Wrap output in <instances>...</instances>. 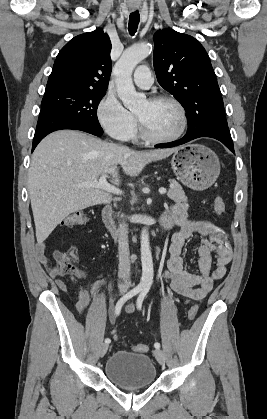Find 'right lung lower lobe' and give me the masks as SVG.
Returning a JSON list of instances; mask_svg holds the SVG:
<instances>
[{
  "mask_svg": "<svg viewBox=\"0 0 267 419\" xmlns=\"http://www.w3.org/2000/svg\"><path fill=\"white\" fill-rule=\"evenodd\" d=\"M62 129L81 130L97 136H100L103 133L101 126L95 127L93 125L84 124L55 111L41 109L33 139L32 152L46 135Z\"/></svg>",
  "mask_w": 267,
  "mask_h": 419,
  "instance_id": "right-lung-lower-lobe-1",
  "label": "right lung lower lobe"
}]
</instances>
